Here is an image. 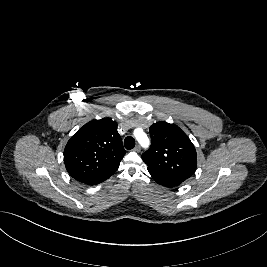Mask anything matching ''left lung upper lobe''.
Listing matches in <instances>:
<instances>
[{
  "label": "left lung upper lobe",
  "instance_id": "left-lung-upper-lobe-1",
  "mask_svg": "<svg viewBox=\"0 0 267 267\" xmlns=\"http://www.w3.org/2000/svg\"><path fill=\"white\" fill-rule=\"evenodd\" d=\"M151 147L142 155L148 171L185 181L197 166L196 150L188 136L175 124L157 122L149 128Z\"/></svg>",
  "mask_w": 267,
  "mask_h": 267
}]
</instances>
